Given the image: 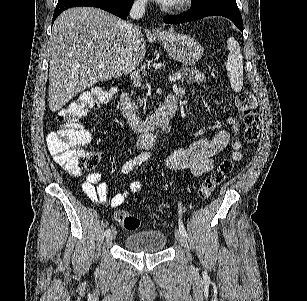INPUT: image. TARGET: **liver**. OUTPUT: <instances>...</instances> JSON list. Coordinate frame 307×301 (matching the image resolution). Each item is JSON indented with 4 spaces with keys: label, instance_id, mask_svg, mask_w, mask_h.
<instances>
[{
    "label": "liver",
    "instance_id": "6515ba94",
    "mask_svg": "<svg viewBox=\"0 0 307 301\" xmlns=\"http://www.w3.org/2000/svg\"><path fill=\"white\" fill-rule=\"evenodd\" d=\"M125 24L126 20L94 6H74L57 16L50 36L48 104L52 112L96 82L139 66L146 42L141 28L131 40ZM128 54H132L131 66H127Z\"/></svg>",
    "mask_w": 307,
    "mask_h": 301
}]
</instances>
